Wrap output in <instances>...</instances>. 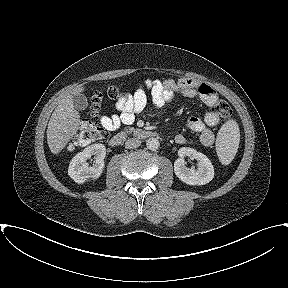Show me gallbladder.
Instances as JSON below:
<instances>
[{"mask_svg":"<svg viewBox=\"0 0 288 288\" xmlns=\"http://www.w3.org/2000/svg\"><path fill=\"white\" fill-rule=\"evenodd\" d=\"M73 105L78 110H85L88 106L87 97L84 94L76 93L72 96Z\"/></svg>","mask_w":288,"mask_h":288,"instance_id":"bac80fb5","label":"gallbladder"}]
</instances>
